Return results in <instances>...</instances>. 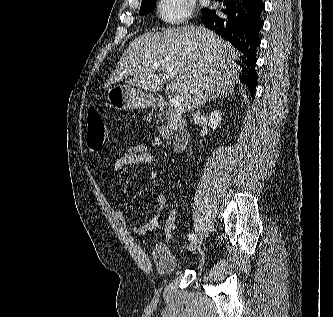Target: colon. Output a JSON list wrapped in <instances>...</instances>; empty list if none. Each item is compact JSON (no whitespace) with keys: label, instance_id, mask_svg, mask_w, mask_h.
<instances>
[{"label":"colon","instance_id":"1","mask_svg":"<svg viewBox=\"0 0 333 317\" xmlns=\"http://www.w3.org/2000/svg\"><path fill=\"white\" fill-rule=\"evenodd\" d=\"M107 137V127L105 121L96 108H90L88 111V130L87 146L91 152H97L103 146ZM176 227V212L173 206L166 209L164 221V233L168 239H171Z\"/></svg>","mask_w":333,"mask_h":317}]
</instances>
